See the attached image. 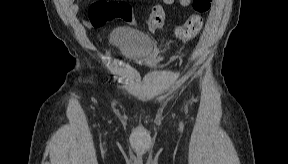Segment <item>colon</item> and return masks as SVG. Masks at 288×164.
<instances>
[{"label": "colon", "instance_id": "5ec220e1", "mask_svg": "<svg viewBox=\"0 0 288 164\" xmlns=\"http://www.w3.org/2000/svg\"><path fill=\"white\" fill-rule=\"evenodd\" d=\"M211 0H194V14L190 15L185 23L176 30V37L182 41L194 39L202 30L203 19L200 14L209 10ZM89 21L95 27H102L114 19H133V12L125 2L116 0H96L89 9ZM167 21L165 10L160 5H155L146 21L150 32H157L163 29Z\"/></svg>", "mask_w": 288, "mask_h": 164}]
</instances>
